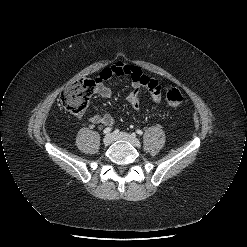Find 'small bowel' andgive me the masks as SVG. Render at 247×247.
Listing matches in <instances>:
<instances>
[{
    "label": "small bowel",
    "instance_id": "1",
    "mask_svg": "<svg viewBox=\"0 0 247 247\" xmlns=\"http://www.w3.org/2000/svg\"><path fill=\"white\" fill-rule=\"evenodd\" d=\"M113 77H127L131 84V91L127 95L128 104L135 110L140 108V94L143 90H147L156 103L162 100V87L160 83L151 77L145 75L140 67L128 65L122 62L113 66L104 68L96 79V93L103 97L112 96V90L107 87L104 82ZM89 121L94 125L108 126L115 122L114 116L111 114H95L89 117Z\"/></svg>",
    "mask_w": 247,
    "mask_h": 247
}]
</instances>
